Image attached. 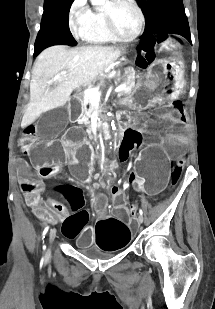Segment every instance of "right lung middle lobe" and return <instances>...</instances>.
<instances>
[{
	"label": "right lung middle lobe",
	"mask_w": 215,
	"mask_h": 309,
	"mask_svg": "<svg viewBox=\"0 0 215 309\" xmlns=\"http://www.w3.org/2000/svg\"><path fill=\"white\" fill-rule=\"evenodd\" d=\"M74 0H45L41 28L35 41L34 55L55 44L75 46L68 24L70 6Z\"/></svg>",
	"instance_id": "right-lung-middle-lobe-1"
}]
</instances>
